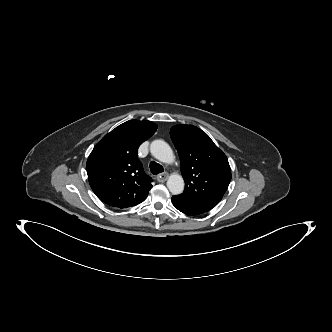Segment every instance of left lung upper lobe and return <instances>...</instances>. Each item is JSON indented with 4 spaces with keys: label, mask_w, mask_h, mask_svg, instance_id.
I'll return each instance as SVG.
<instances>
[{
    "label": "left lung upper lobe",
    "mask_w": 332,
    "mask_h": 332,
    "mask_svg": "<svg viewBox=\"0 0 332 332\" xmlns=\"http://www.w3.org/2000/svg\"><path fill=\"white\" fill-rule=\"evenodd\" d=\"M178 151L184 192L175 197L195 208L209 211L222 199L231 181L226 155L210 137L193 125H176L170 129Z\"/></svg>",
    "instance_id": "left-lung-upper-lobe-1"
}]
</instances>
